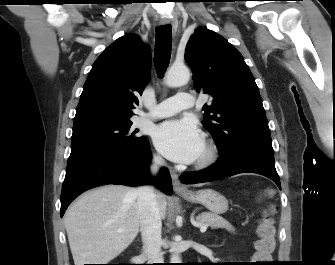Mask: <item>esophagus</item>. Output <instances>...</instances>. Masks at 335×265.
Wrapping results in <instances>:
<instances>
[{"label":"esophagus","mask_w":335,"mask_h":265,"mask_svg":"<svg viewBox=\"0 0 335 265\" xmlns=\"http://www.w3.org/2000/svg\"><path fill=\"white\" fill-rule=\"evenodd\" d=\"M160 24L161 25H168L170 23V20L168 17L163 16L160 18ZM171 178H172V184H173V189L175 192H185L187 191V188L183 186L179 180V175L174 171L171 170L170 172Z\"/></svg>","instance_id":"34e87169"}]
</instances>
